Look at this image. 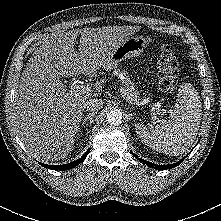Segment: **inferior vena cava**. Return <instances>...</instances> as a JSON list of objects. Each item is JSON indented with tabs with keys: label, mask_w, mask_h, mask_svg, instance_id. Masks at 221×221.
<instances>
[{
	"label": "inferior vena cava",
	"mask_w": 221,
	"mask_h": 221,
	"mask_svg": "<svg viewBox=\"0 0 221 221\" xmlns=\"http://www.w3.org/2000/svg\"><path fill=\"white\" fill-rule=\"evenodd\" d=\"M103 107V101L101 99H89L85 102V109L87 111H97Z\"/></svg>",
	"instance_id": "1"
}]
</instances>
